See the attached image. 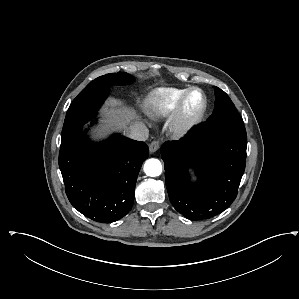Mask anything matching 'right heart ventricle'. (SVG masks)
I'll return each mask as SVG.
<instances>
[{"label":"right heart ventricle","mask_w":299,"mask_h":299,"mask_svg":"<svg viewBox=\"0 0 299 299\" xmlns=\"http://www.w3.org/2000/svg\"><path fill=\"white\" fill-rule=\"evenodd\" d=\"M187 89L183 88H160L153 91L146 101V110L150 117L161 118L171 113L182 94Z\"/></svg>","instance_id":"e07e8e85"}]
</instances>
